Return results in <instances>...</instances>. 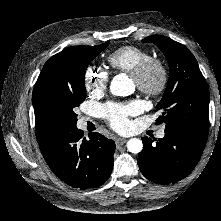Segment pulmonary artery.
I'll list each match as a JSON object with an SVG mask.
<instances>
[{
	"label": "pulmonary artery",
	"mask_w": 221,
	"mask_h": 221,
	"mask_svg": "<svg viewBox=\"0 0 221 221\" xmlns=\"http://www.w3.org/2000/svg\"><path fill=\"white\" fill-rule=\"evenodd\" d=\"M81 123L84 124L85 123V119H81ZM156 136H157V138H163L165 136L164 130L158 131Z\"/></svg>",
	"instance_id": "pulmonary-artery-1"
}]
</instances>
